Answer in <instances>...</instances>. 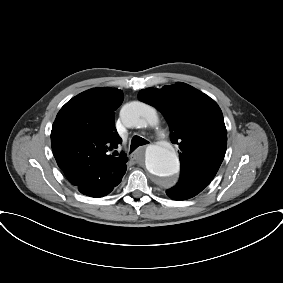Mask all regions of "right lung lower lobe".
<instances>
[{"label":"right lung lower lobe","instance_id":"1","mask_svg":"<svg viewBox=\"0 0 283 283\" xmlns=\"http://www.w3.org/2000/svg\"><path fill=\"white\" fill-rule=\"evenodd\" d=\"M127 166L119 170L121 175L115 176L111 168H106L98 173L97 177H92L83 181L77 187L79 191L87 196L102 197L110 193L117 186L125 174Z\"/></svg>","mask_w":283,"mask_h":283}]
</instances>
